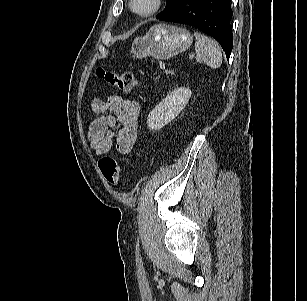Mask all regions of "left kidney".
I'll return each mask as SVG.
<instances>
[{
	"label": "left kidney",
	"mask_w": 307,
	"mask_h": 301,
	"mask_svg": "<svg viewBox=\"0 0 307 301\" xmlns=\"http://www.w3.org/2000/svg\"><path fill=\"white\" fill-rule=\"evenodd\" d=\"M191 94V90L187 87L175 88L149 113L147 117L149 129L160 130L171 122L184 109Z\"/></svg>",
	"instance_id": "left-kidney-1"
}]
</instances>
